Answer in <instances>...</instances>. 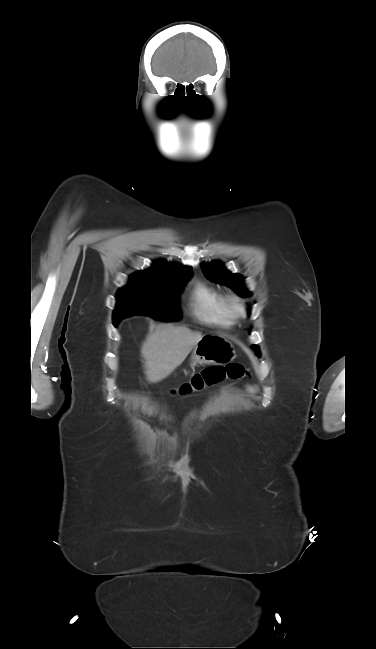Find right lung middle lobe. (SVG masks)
Returning a JSON list of instances; mask_svg holds the SVG:
<instances>
[{
    "label": "right lung middle lobe",
    "mask_w": 376,
    "mask_h": 649,
    "mask_svg": "<svg viewBox=\"0 0 376 649\" xmlns=\"http://www.w3.org/2000/svg\"><path fill=\"white\" fill-rule=\"evenodd\" d=\"M191 277V272L180 275L152 277L141 273L130 276L129 284L116 296L113 322L128 316L144 314L163 321H175L181 317L178 305L179 292Z\"/></svg>",
    "instance_id": "1"
}]
</instances>
